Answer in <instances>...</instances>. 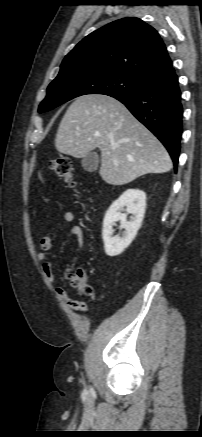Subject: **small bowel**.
Listing matches in <instances>:
<instances>
[{"label":"small bowel","mask_w":202,"mask_h":437,"mask_svg":"<svg viewBox=\"0 0 202 437\" xmlns=\"http://www.w3.org/2000/svg\"><path fill=\"white\" fill-rule=\"evenodd\" d=\"M53 221L54 218H50L48 220V224L49 225L52 224ZM62 221L63 224L66 225L71 224L74 221V214L71 211H65L63 213ZM69 233L77 239L79 247L83 248L84 233L82 228L79 225H72L69 228ZM52 245H53V236L51 234H47L43 236L40 240V251L37 254V259L42 264V271L44 277L47 280V282H49L50 284H53L55 281L53 264L47 260V254L51 250ZM56 292L69 308L83 313L88 311V306L86 303L70 299L67 291L64 288L58 287L56 289Z\"/></svg>","instance_id":"c3829d8e"}]
</instances>
